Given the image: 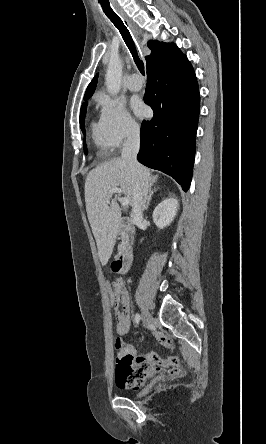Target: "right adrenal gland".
Returning a JSON list of instances; mask_svg holds the SVG:
<instances>
[{"label": "right adrenal gland", "instance_id": "1", "mask_svg": "<svg viewBox=\"0 0 266 444\" xmlns=\"http://www.w3.org/2000/svg\"><path fill=\"white\" fill-rule=\"evenodd\" d=\"M158 189H159V188H154V189H152V190L150 189L149 197H148V201H147V204H146L145 210H147V209L149 208L150 201H151V199H152V195H153L155 192H157Z\"/></svg>", "mask_w": 266, "mask_h": 444}]
</instances>
